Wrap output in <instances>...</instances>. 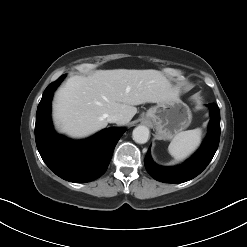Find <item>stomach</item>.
<instances>
[{"mask_svg":"<svg viewBox=\"0 0 247 247\" xmlns=\"http://www.w3.org/2000/svg\"><path fill=\"white\" fill-rule=\"evenodd\" d=\"M144 119L154 125L159 139L168 140L190 125L192 115L189 107L177 97L151 107Z\"/></svg>","mask_w":247,"mask_h":247,"instance_id":"1","label":"stomach"}]
</instances>
